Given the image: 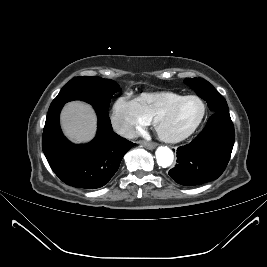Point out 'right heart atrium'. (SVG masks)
<instances>
[{
    "mask_svg": "<svg viewBox=\"0 0 267 267\" xmlns=\"http://www.w3.org/2000/svg\"><path fill=\"white\" fill-rule=\"evenodd\" d=\"M111 121L114 129L125 137H132L150 121L143 114L137 99L128 94L119 96L112 107Z\"/></svg>",
    "mask_w": 267,
    "mask_h": 267,
    "instance_id": "1",
    "label": "right heart atrium"
}]
</instances>
